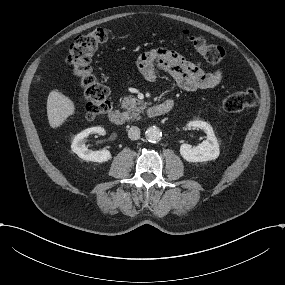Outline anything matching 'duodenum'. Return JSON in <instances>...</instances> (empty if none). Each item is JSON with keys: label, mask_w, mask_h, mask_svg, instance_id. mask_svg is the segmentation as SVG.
Instances as JSON below:
<instances>
[{"label": "duodenum", "mask_w": 285, "mask_h": 285, "mask_svg": "<svg viewBox=\"0 0 285 285\" xmlns=\"http://www.w3.org/2000/svg\"><path fill=\"white\" fill-rule=\"evenodd\" d=\"M173 107L174 101L172 99H167L162 103L151 106L149 108L148 114L150 117H159L169 113ZM108 118L115 125H123L125 122L123 113L116 108H111L108 111Z\"/></svg>", "instance_id": "duodenum-1"}]
</instances>
